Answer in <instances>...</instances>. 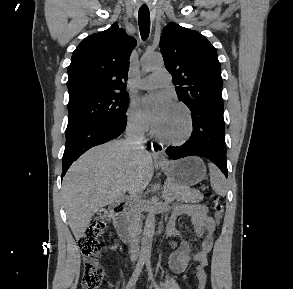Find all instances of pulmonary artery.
I'll return each instance as SVG.
<instances>
[{
	"label": "pulmonary artery",
	"instance_id": "1",
	"mask_svg": "<svg viewBox=\"0 0 293 289\" xmlns=\"http://www.w3.org/2000/svg\"><path fill=\"white\" fill-rule=\"evenodd\" d=\"M170 83V75L167 70L159 69L153 74L141 79L138 87L141 89H153Z\"/></svg>",
	"mask_w": 293,
	"mask_h": 289
}]
</instances>
